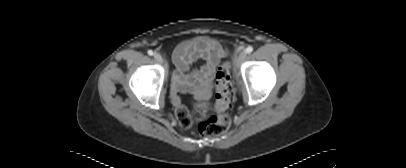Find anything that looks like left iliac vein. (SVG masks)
<instances>
[{"label": "left iliac vein", "mask_w": 406, "mask_h": 168, "mask_svg": "<svg viewBox=\"0 0 406 168\" xmlns=\"http://www.w3.org/2000/svg\"><path fill=\"white\" fill-rule=\"evenodd\" d=\"M246 55V51H242L239 53V55L235 58L236 66H239L244 61Z\"/></svg>", "instance_id": "obj_1"}]
</instances>
